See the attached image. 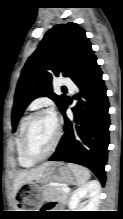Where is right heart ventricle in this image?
Wrapping results in <instances>:
<instances>
[{
    "mask_svg": "<svg viewBox=\"0 0 123 219\" xmlns=\"http://www.w3.org/2000/svg\"><path fill=\"white\" fill-rule=\"evenodd\" d=\"M27 118L28 117L25 116L20 120V123H19V126H18V132H17V136H16V141H15L17 160H18L19 164L22 167H26V168L33 166L34 163H35V162H32V161L28 160L24 156V154L22 152V148H21V138H22V133H23V129H24Z\"/></svg>",
    "mask_w": 123,
    "mask_h": 219,
    "instance_id": "obj_1",
    "label": "right heart ventricle"
}]
</instances>
